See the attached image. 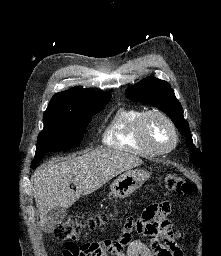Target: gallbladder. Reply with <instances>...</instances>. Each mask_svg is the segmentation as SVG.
<instances>
[{
    "mask_svg": "<svg viewBox=\"0 0 221 256\" xmlns=\"http://www.w3.org/2000/svg\"><path fill=\"white\" fill-rule=\"evenodd\" d=\"M67 215V210L61 207L52 208L47 215V221L44 225L45 232H52L54 228L62 223Z\"/></svg>",
    "mask_w": 221,
    "mask_h": 256,
    "instance_id": "1",
    "label": "gallbladder"
}]
</instances>
